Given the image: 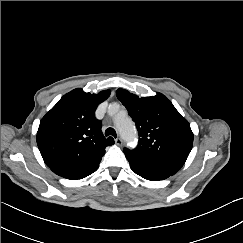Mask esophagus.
<instances>
[{
	"instance_id": "esophagus-1",
	"label": "esophagus",
	"mask_w": 243,
	"mask_h": 243,
	"mask_svg": "<svg viewBox=\"0 0 243 243\" xmlns=\"http://www.w3.org/2000/svg\"><path fill=\"white\" fill-rule=\"evenodd\" d=\"M115 143H116L117 145H122L123 141H122L121 138L118 137V138L115 139Z\"/></svg>"
}]
</instances>
